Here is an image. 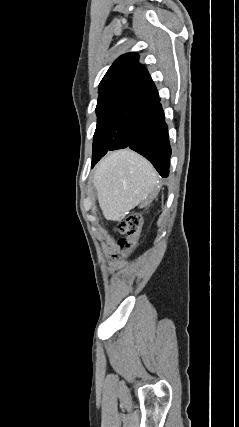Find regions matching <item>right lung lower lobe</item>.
<instances>
[{
  "label": "right lung lower lobe",
  "instance_id": "right-lung-lower-lobe-1",
  "mask_svg": "<svg viewBox=\"0 0 239 427\" xmlns=\"http://www.w3.org/2000/svg\"><path fill=\"white\" fill-rule=\"evenodd\" d=\"M148 101V109L135 123L123 148L129 147L138 152L153 164L162 177H167L171 156L168 128L160 98L156 96Z\"/></svg>",
  "mask_w": 239,
  "mask_h": 427
}]
</instances>
